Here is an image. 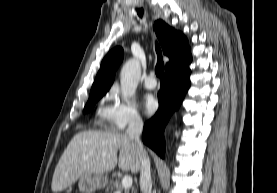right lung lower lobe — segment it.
<instances>
[{
    "instance_id": "1",
    "label": "right lung lower lobe",
    "mask_w": 277,
    "mask_h": 193,
    "mask_svg": "<svg viewBox=\"0 0 277 193\" xmlns=\"http://www.w3.org/2000/svg\"><path fill=\"white\" fill-rule=\"evenodd\" d=\"M190 52L166 68L158 92L160 107L155 116L144 125L143 142L160 157L165 155L164 129L170 116L176 110L190 87Z\"/></svg>"
}]
</instances>
